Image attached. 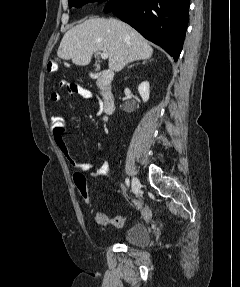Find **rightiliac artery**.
<instances>
[{
  "label": "right iliac artery",
  "instance_id": "obj_1",
  "mask_svg": "<svg viewBox=\"0 0 240 287\" xmlns=\"http://www.w3.org/2000/svg\"><path fill=\"white\" fill-rule=\"evenodd\" d=\"M125 183H126L127 187H129V186H130V181H129V179H128V178H126Z\"/></svg>",
  "mask_w": 240,
  "mask_h": 287
}]
</instances>
